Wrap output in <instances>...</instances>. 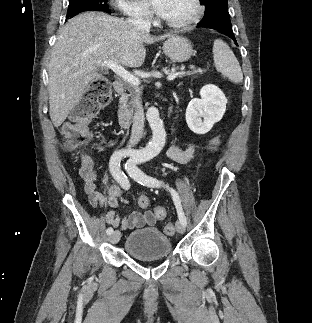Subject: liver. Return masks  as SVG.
Here are the masks:
<instances>
[{"label": "liver", "mask_w": 312, "mask_h": 323, "mask_svg": "<svg viewBox=\"0 0 312 323\" xmlns=\"http://www.w3.org/2000/svg\"><path fill=\"white\" fill-rule=\"evenodd\" d=\"M169 36H160L165 40ZM157 42L148 32L137 30L126 20L104 12H83L58 30L49 64V114L58 128L80 102L86 86L102 78L100 62L140 68L144 64V44Z\"/></svg>", "instance_id": "6515ba94"}]
</instances>
